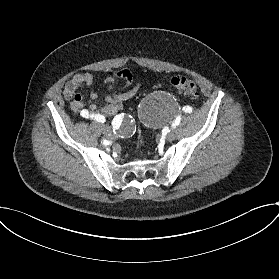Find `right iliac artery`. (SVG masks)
Masks as SVG:
<instances>
[{
    "label": "right iliac artery",
    "instance_id": "right-iliac-artery-1",
    "mask_svg": "<svg viewBox=\"0 0 279 279\" xmlns=\"http://www.w3.org/2000/svg\"><path fill=\"white\" fill-rule=\"evenodd\" d=\"M80 115H81V117H83L86 120L93 118V120H95V121H98V122H101V123L105 122V117L104 116H102L100 114L93 115V113L88 112L85 109L82 110ZM112 125H113V127L117 128V129H122L126 125V120L122 116H116L112 121Z\"/></svg>",
    "mask_w": 279,
    "mask_h": 279
}]
</instances>
